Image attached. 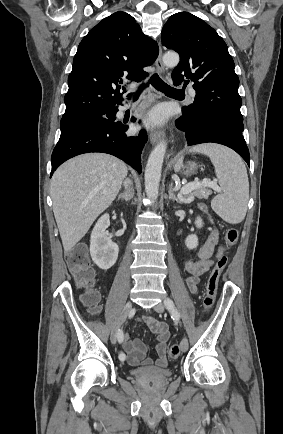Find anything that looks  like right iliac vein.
<instances>
[{"mask_svg": "<svg viewBox=\"0 0 283 434\" xmlns=\"http://www.w3.org/2000/svg\"><path fill=\"white\" fill-rule=\"evenodd\" d=\"M131 311H132V302L128 301L126 303V305L124 306L123 311H122L118 321L116 322L115 326L113 327V329L111 331L110 340H111V343L113 345H115L117 342L118 332L120 330L121 325L124 323V321L129 316Z\"/></svg>", "mask_w": 283, "mask_h": 434, "instance_id": "obj_1", "label": "right iliac vein"}]
</instances>
